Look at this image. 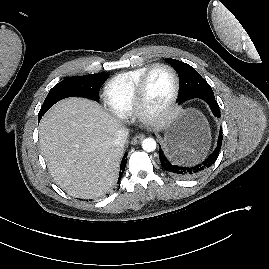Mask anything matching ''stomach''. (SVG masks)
Wrapping results in <instances>:
<instances>
[{"label":"stomach","instance_id":"obj_1","mask_svg":"<svg viewBox=\"0 0 269 269\" xmlns=\"http://www.w3.org/2000/svg\"><path fill=\"white\" fill-rule=\"evenodd\" d=\"M164 129L166 153L181 162H197L208 148L209 127L195 109H178Z\"/></svg>","mask_w":269,"mask_h":269}]
</instances>
